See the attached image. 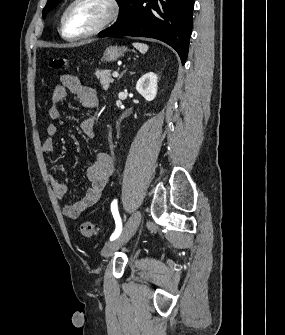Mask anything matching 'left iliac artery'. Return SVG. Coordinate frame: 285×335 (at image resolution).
<instances>
[{"instance_id":"44dca946","label":"left iliac artery","mask_w":285,"mask_h":335,"mask_svg":"<svg viewBox=\"0 0 285 335\" xmlns=\"http://www.w3.org/2000/svg\"><path fill=\"white\" fill-rule=\"evenodd\" d=\"M111 212L113 214V217L115 219V223H116V229L114 231V233L111 235L110 240L113 241L114 239H116L121 231H122V221L118 212V206H117V200H114L111 203Z\"/></svg>"}]
</instances>
